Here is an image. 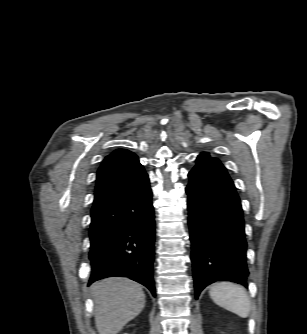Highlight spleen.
I'll list each match as a JSON object with an SVG mask.
<instances>
[{"instance_id":"3e777b00","label":"spleen","mask_w":307,"mask_h":334,"mask_svg":"<svg viewBox=\"0 0 307 334\" xmlns=\"http://www.w3.org/2000/svg\"><path fill=\"white\" fill-rule=\"evenodd\" d=\"M209 295L220 307L242 318L248 317L251 303L246 290L240 285L229 282L216 283L211 286Z\"/></svg>"}]
</instances>
